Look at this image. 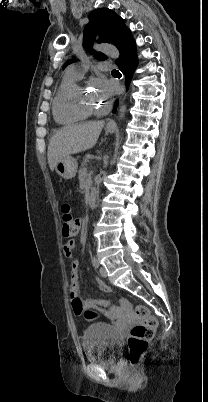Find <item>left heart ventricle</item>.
<instances>
[{"instance_id": "1", "label": "left heart ventricle", "mask_w": 208, "mask_h": 402, "mask_svg": "<svg viewBox=\"0 0 208 402\" xmlns=\"http://www.w3.org/2000/svg\"><path fill=\"white\" fill-rule=\"evenodd\" d=\"M83 103L86 106H91V105H95L98 101L101 100V96L97 95V96H87L84 94L83 98Z\"/></svg>"}]
</instances>
